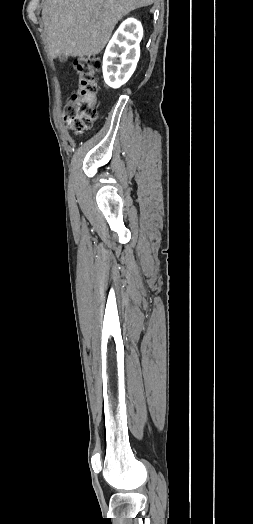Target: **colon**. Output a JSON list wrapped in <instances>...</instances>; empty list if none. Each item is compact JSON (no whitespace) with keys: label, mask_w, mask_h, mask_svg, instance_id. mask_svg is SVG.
<instances>
[{"label":"colon","mask_w":253,"mask_h":524,"mask_svg":"<svg viewBox=\"0 0 253 524\" xmlns=\"http://www.w3.org/2000/svg\"><path fill=\"white\" fill-rule=\"evenodd\" d=\"M100 64L98 57L88 56L78 58L74 65L79 82L65 104L64 119L69 128L78 134L90 129L97 115L96 76Z\"/></svg>","instance_id":"obj_1"}]
</instances>
